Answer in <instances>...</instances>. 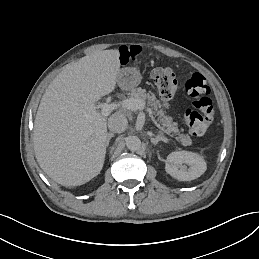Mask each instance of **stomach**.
Returning <instances> with one entry per match:
<instances>
[{"instance_id":"obj_1","label":"stomach","mask_w":259,"mask_h":259,"mask_svg":"<svg viewBox=\"0 0 259 259\" xmlns=\"http://www.w3.org/2000/svg\"><path fill=\"white\" fill-rule=\"evenodd\" d=\"M140 74L133 67H126L119 72L117 83L123 90H131L140 83Z\"/></svg>"}]
</instances>
